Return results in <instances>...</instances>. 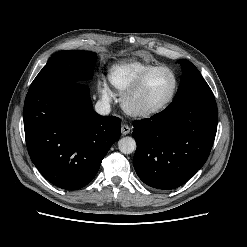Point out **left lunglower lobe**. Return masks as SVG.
Returning <instances> with one entry per match:
<instances>
[{"mask_svg":"<svg viewBox=\"0 0 247 247\" xmlns=\"http://www.w3.org/2000/svg\"><path fill=\"white\" fill-rule=\"evenodd\" d=\"M213 93H191L162 112L133 123L134 168L148 186L170 190L187 182L206 162L217 131Z\"/></svg>","mask_w":247,"mask_h":247,"instance_id":"0a47b994","label":"left lung lower lobe"}]
</instances>
